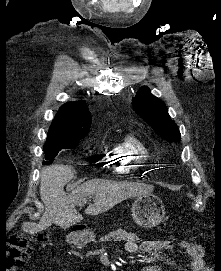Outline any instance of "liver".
Instances as JSON below:
<instances>
[{"label":"liver","instance_id":"1","mask_svg":"<svg viewBox=\"0 0 221 271\" xmlns=\"http://www.w3.org/2000/svg\"><path fill=\"white\" fill-rule=\"evenodd\" d=\"M74 177L70 165L53 163L42 167L40 171V195L45 205V211L36 225L27 229L28 233H38L52 223L60 227H71L82 221L83 215L75 209L81 203V197L95 195L94 203H89L85 209L87 215H99L108 211L123 199L131 195H142V191L133 183L111 181V179H88L80 187L73 189L69 195L64 187Z\"/></svg>","mask_w":221,"mask_h":271}]
</instances>
